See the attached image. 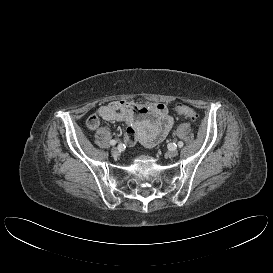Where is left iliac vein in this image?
Masks as SVG:
<instances>
[{"instance_id": "4c4485c4", "label": "left iliac vein", "mask_w": 273, "mask_h": 273, "mask_svg": "<svg viewBox=\"0 0 273 273\" xmlns=\"http://www.w3.org/2000/svg\"><path fill=\"white\" fill-rule=\"evenodd\" d=\"M178 155V150L177 149H172L170 151L167 152V156L169 158L175 157Z\"/></svg>"}]
</instances>
